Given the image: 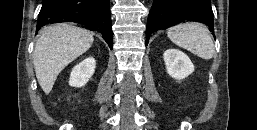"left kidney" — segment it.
I'll return each instance as SVG.
<instances>
[{
  "label": "left kidney",
  "mask_w": 257,
  "mask_h": 130,
  "mask_svg": "<svg viewBox=\"0 0 257 130\" xmlns=\"http://www.w3.org/2000/svg\"><path fill=\"white\" fill-rule=\"evenodd\" d=\"M167 73L176 80H182L194 71L190 58L180 50L170 48L163 54Z\"/></svg>",
  "instance_id": "5707ae66"
}]
</instances>
